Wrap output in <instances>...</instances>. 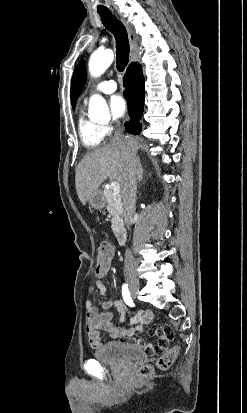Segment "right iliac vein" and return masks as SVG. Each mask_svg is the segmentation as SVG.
<instances>
[{
    "mask_svg": "<svg viewBox=\"0 0 247 413\" xmlns=\"http://www.w3.org/2000/svg\"><path fill=\"white\" fill-rule=\"evenodd\" d=\"M137 291H138V286L133 285L130 287L131 294H136Z\"/></svg>",
    "mask_w": 247,
    "mask_h": 413,
    "instance_id": "right-iliac-vein-1",
    "label": "right iliac vein"
}]
</instances>
